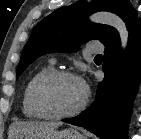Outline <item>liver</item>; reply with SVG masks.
I'll list each match as a JSON object with an SVG mask.
<instances>
[{
    "mask_svg": "<svg viewBox=\"0 0 141 139\" xmlns=\"http://www.w3.org/2000/svg\"><path fill=\"white\" fill-rule=\"evenodd\" d=\"M61 125H62L61 122H43V121L15 122L9 128V137L10 139H14L17 136H22L37 130L56 129Z\"/></svg>",
    "mask_w": 141,
    "mask_h": 139,
    "instance_id": "obj_1",
    "label": "liver"
}]
</instances>
